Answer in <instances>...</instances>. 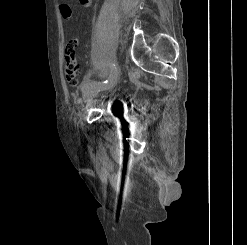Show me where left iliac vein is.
<instances>
[{
  "mask_svg": "<svg viewBox=\"0 0 247 245\" xmlns=\"http://www.w3.org/2000/svg\"><path fill=\"white\" fill-rule=\"evenodd\" d=\"M120 79V72L116 70L113 76L110 78L109 82L105 86L91 85L84 94V99L86 102H91L100 91L110 90L116 86Z\"/></svg>",
  "mask_w": 247,
  "mask_h": 245,
  "instance_id": "4c4485c4",
  "label": "left iliac vein"
}]
</instances>
